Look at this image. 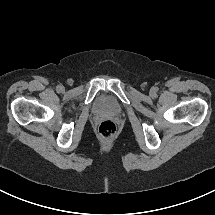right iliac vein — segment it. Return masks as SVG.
Masks as SVG:
<instances>
[{
    "label": "right iliac vein",
    "mask_w": 215,
    "mask_h": 215,
    "mask_svg": "<svg viewBox=\"0 0 215 215\" xmlns=\"http://www.w3.org/2000/svg\"><path fill=\"white\" fill-rule=\"evenodd\" d=\"M64 89V87L63 86H61V90H63Z\"/></svg>",
    "instance_id": "1"
}]
</instances>
